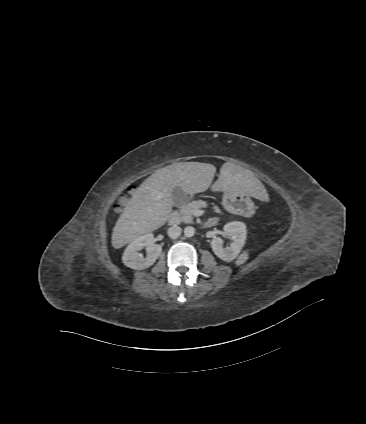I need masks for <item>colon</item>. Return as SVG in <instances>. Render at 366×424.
I'll return each instance as SVG.
<instances>
[{"mask_svg":"<svg viewBox=\"0 0 366 424\" xmlns=\"http://www.w3.org/2000/svg\"><path fill=\"white\" fill-rule=\"evenodd\" d=\"M124 203H125V200H124V199H122V200L120 201L119 205H120V206H123V205H124Z\"/></svg>","mask_w":366,"mask_h":424,"instance_id":"obj_1","label":"colon"}]
</instances>
